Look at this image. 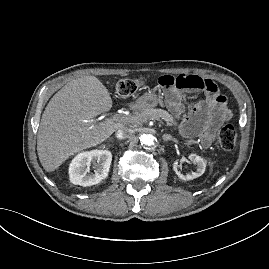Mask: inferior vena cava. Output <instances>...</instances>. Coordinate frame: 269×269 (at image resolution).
<instances>
[{"label": "inferior vena cava", "mask_w": 269, "mask_h": 269, "mask_svg": "<svg viewBox=\"0 0 269 269\" xmlns=\"http://www.w3.org/2000/svg\"><path fill=\"white\" fill-rule=\"evenodd\" d=\"M133 133V130L128 128V127H123L121 129H119L117 132H116V137L118 139H124V138H128L132 135Z\"/></svg>", "instance_id": "1"}]
</instances>
